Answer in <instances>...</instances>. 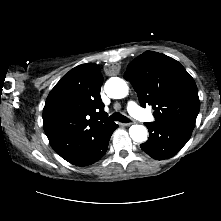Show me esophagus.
<instances>
[{
	"instance_id": "1",
	"label": "esophagus",
	"mask_w": 221,
	"mask_h": 221,
	"mask_svg": "<svg viewBox=\"0 0 221 221\" xmlns=\"http://www.w3.org/2000/svg\"><path fill=\"white\" fill-rule=\"evenodd\" d=\"M132 123H121V125H123V126H130Z\"/></svg>"
}]
</instances>
